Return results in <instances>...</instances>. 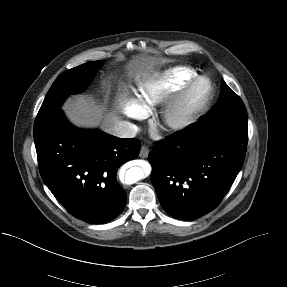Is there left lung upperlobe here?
I'll return each mask as SVG.
<instances>
[{"label":"left lung upper lobe","instance_id":"5c2ea615","mask_svg":"<svg viewBox=\"0 0 287 287\" xmlns=\"http://www.w3.org/2000/svg\"><path fill=\"white\" fill-rule=\"evenodd\" d=\"M201 118L208 124L222 128L248 130L247 112L241 98L222 81L218 102Z\"/></svg>","mask_w":287,"mask_h":287}]
</instances>
